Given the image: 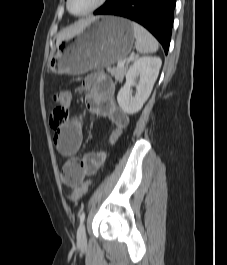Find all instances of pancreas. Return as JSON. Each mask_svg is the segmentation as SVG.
<instances>
[{"instance_id": "obj_1", "label": "pancreas", "mask_w": 227, "mask_h": 265, "mask_svg": "<svg viewBox=\"0 0 227 265\" xmlns=\"http://www.w3.org/2000/svg\"><path fill=\"white\" fill-rule=\"evenodd\" d=\"M107 71L111 73V75L115 77L116 80L122 81L127 71V66L117 68L107 67Z\"/></svg>"}]
</instances>
